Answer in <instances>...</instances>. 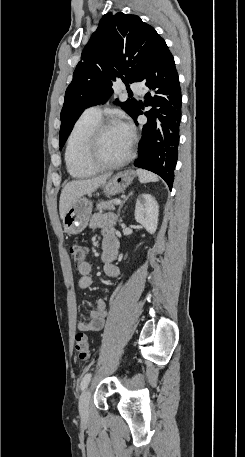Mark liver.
Segmentation results:
<instances>
[{
	"instance_id": "6515ba94",
	"label": "liver",
	"mask_w": 245,
	"mask_h": 457,
	"mask_svg": "<svg viewBox=\"0 0 245 457\" xmlns=\"http://www.w3.org/2000/svg\"><path fill=\"white\" fill-rule=\"evenodd\" d=\"M109 176H111V172H108V174H101V176H95V178H88V180H71V182H67L64 188H62L60 196V218H64L68 208H70L74 200L81 198L83 194L94 192L100 184H104Z\"/></svg>"
}]
</instances>
